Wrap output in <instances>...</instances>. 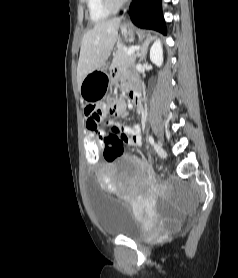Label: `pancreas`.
I'll return each instance as SVG.
<instances>
[{
  "label": "pancreas",
  "mask_w": 238,
  "mask_h": 278,
  "mask_svg": "<svg viewBox=\"0 0 238 278\" xmlns=\"http://www.w3.org/2000/svg\"><path fill=\"white\" fill-rule=\"evenodd\" d=\"M128 49L125 46H120L113 55L112 67H119L121 65H126L133 63L136 55H127Z\"/></svg>",
  "instance_id": "cf45deb5"
}]
</instances>
